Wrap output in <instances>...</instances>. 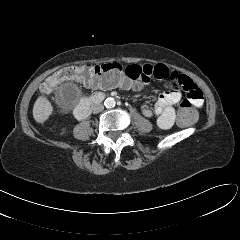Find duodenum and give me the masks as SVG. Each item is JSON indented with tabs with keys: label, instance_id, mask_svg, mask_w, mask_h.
<instances>
[{
	"label": "duodenum",
	"instance_id": "duodenum-1",
	"mask_svg": "<svg viewBox=\"0 0 240 240\" xmlns=\"http://www.w3.org/2000/svg\"><path fill=\"white\" fill-rule=\"evenodd\" d=\"M104 98L105 95L103 93L94 94L90 99L83 101L77 105L74 110V115L78 119L86 118L90 113L92 105L101 102Z\"/></svg>",
	"mask_w": 240,
	"mask_h": 240
}]
</instances>
